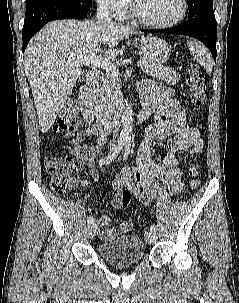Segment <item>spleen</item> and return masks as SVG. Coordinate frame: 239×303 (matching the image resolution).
Returning <instances> with one entry per match:
<instances>
[{"label":"spleen","mask_w":239,"mask_h":303,"mask_svg":"<svg viewBox=\"0 0 239 303\" xmlns=\"http://www.w3.org/2000/svg\"><path fill=\"white\" fill-rule=\"evenodd\" d=\"M187 44L192 56L197 59L198 63L204 67L207 72L211 73L213 60L207 48L195 41H188Z\"/></svg>","instance_id":"obj_1"}]
</instances>
